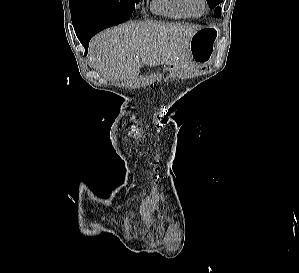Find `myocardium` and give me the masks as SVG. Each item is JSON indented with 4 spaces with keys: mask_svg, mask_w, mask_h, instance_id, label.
<instances>
[{
    "mask_svg": "<svg viewBox=\"0 0 299 273\" xmlns=\"http://www.w3.org/2000/svg\"><path fill=\"white\" fill-rule=\"evenodd\" d=\"M183 2V6L185 8V10L187 11V13L190 15V17H200L202 16L206 10H207V0H201L202 3V11L199 14H195L192 12L190 5H189V0H182Z\"/></svg>",
    "mask_w": 299,
    "mask_h": 273,
    "instance_id": "1",
    "label": "myocardium"
}]
</instances>
